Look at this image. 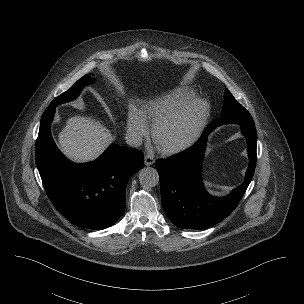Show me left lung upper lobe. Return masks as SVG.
<instances>
[{"mask_svg": "<svg viewBox=\"0 0 304 304\" xmlns=\"http://www.w3.org/2000/svg\"><path fill=\"white\" fill-rule=\"evenodd\" d=\"M224 105L219 119L212 121L208 126H219L226 123L254 125L249 112L233 97L228 89L224 93Z\"/></svg>", "mask_w": 304, "mask_h": 304, "instance_id": "obj_1", "label": "left lung upper lobe"}]
</instances>
